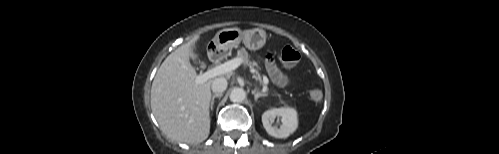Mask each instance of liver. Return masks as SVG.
<instances>
[{
    "mask_svg": "<svg viewBox=\"0 0 499 154\" xmlns=\"http://www.w3.org/2000/svg\"><path fill=\"white\" fill-rule=\"evenodd\" d=\"M199 36L179 46L161 64L151 87V109L166 136L173 141L200 143L210 133L211 84H196L190 58Z\"/></svg>",
    "mask_w": 499,
    "mask_h": 154,
    "instance_id": "1",
    "label": "liver"
}]
</instances>
